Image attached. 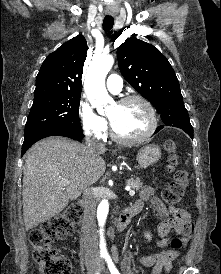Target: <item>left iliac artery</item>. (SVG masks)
<instances>
[{
  "mask_svg": "<svg viewBox=\"0 0 221 274\" xmlns=\"http://www.w3.org/2000/svg\"><path fill=\"white\" fill-rule=\"evenodd\" d=\"M105 259H106V262H107V265H108V268H109L111 274H120V272L117 270V268L114 265V263H113L112 259L110 258V256L106 255Z\"/></svg>",
  "mask_w": 221,
  "mask_h": 274,
  "instance_id": "obj_1",
  "label": "left iliac artery"
}]
</instances>
